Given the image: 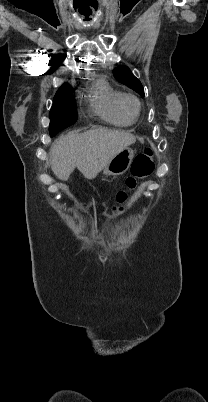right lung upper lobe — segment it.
Instances as JSON below:
<instances>
[{"instance_id":"cb5924a9","label":"right lung upper lobe","mask_w":208,"mask_h":402,"mask_svg":"<svg viewBox=\"0 0 208 402\" xmlns=\"http://www.w3.org/2000/svg\"><path fill=\"white\" fill-rule=\"evenodd\" d=\"M70 92H71V87L68 84H63L55 96L70 93Z\"/></svg>"}]
</instances>
